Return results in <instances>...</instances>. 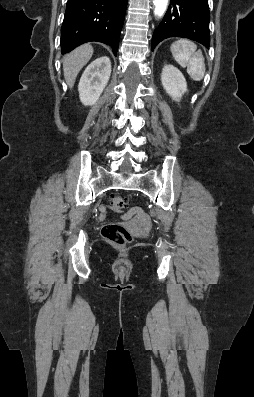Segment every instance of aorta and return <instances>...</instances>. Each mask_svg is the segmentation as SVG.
<instances>
[{"label": "aorta", "instance_id": "1", "mask_svg": "<svg viewBox=\"0 0 254 397\" xmlns=\"http://www.w3.org/2000/svg\"><path fill=\"white\" fill-rule=\"evenodd\" d=\"M154 5V14L158 17H161L166 11L168 0H154Z\"/></svg>", "mask_w": 254, "mask_h": 397}]
</instances>
